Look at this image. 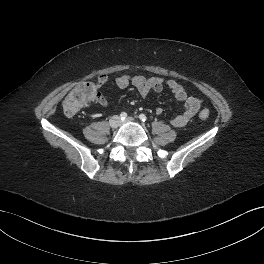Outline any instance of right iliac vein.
<instances>
[{
	"label": "right iliac vein",
	"mask_w": 264,
	"mask_h": 264,
	"mask_svg": "<svg viewBox=\"0 0 264 264\" xmlns=\"http://www.w3.org/2000/svg\"><path fill=\"white\" fill-rule=\"evenodd\" d=\"M121 121L120 118L118 116H113L110 120H109V125L111 128H117L120 125Z\"/></svg>",
	"instance_id": "right-iliac-vein-1"
}]
</instances>
